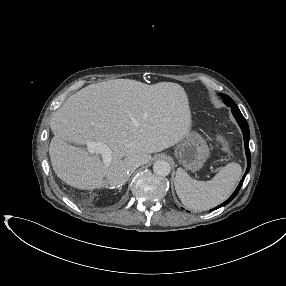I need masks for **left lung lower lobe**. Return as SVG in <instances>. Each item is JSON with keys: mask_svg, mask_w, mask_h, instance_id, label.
Masks as SVG:
<instances>
[{"mask_svg": "<svg viewBox=\"0 0 286 286\" xmlns=\"http://www.w3.org/2000/svg\"><path fill=\"white\" fill-rule=\"evenodd\" d=\"M232 113L236 119V121L238 122L241 130H242V133L244 135V145H245V150H246V156H247V169H246V172L243 176V178L241 179L239 185L237 186L236 190L233 192V194L229 197L228 200H226L221 206H224L226 204H228L229 202H231L235 196L237 195V193L239 192L242 184H243V181L247 175V173L249 172V169H250V163H251V156H250V150H249V137H250V133H249V127H248V124H247V121L245 120V118L243 117L242 113L240 112L239 109H232ZM220 208V206L216 207L215 209H218Z\"/></svg>", "mask_w": 286, "mask_h": 286, "instance_id": "1", "label": "left lung lower lobe"}]
</instances>
